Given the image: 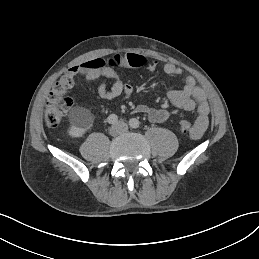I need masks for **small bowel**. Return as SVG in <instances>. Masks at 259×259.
I'll return each instance as SVG.
<instances>
[{
	"mask_svg": "<svg viewBox=\"0 0 259 259\" xmlns=\"http://www.w3.org/2000/svg\"><path fill=\"white\" fill-rule=\"evenodd\" d=\"M140 67H145L149 71H155L157 61H149L145 56L136 53L115 55L107 60L98 58L71 67L67 71V75L82 76L88 81L99 78L109 79L112 81V85L108 87L105 82H101L97 88L98 95L106 100L118 97L128 99L132 96L134 89L130 84L124 83L121 80L116 68ZM163 70L166 74L173 76H179L183 73L180 67L172 63L165 64ZM167 98L177 108L185 111H197L191 136L195 139L200 138L209 124V104L204 90L196 85L192 76H186L183 88L168 91ZM136 112L145 114L150 121L155 123H164L169 116L168 111L164 109H156L146 105L138 106Z\"/></svg>",
	"mask_w": 259,
	"mask_h": 259,
	"instance_id": "c3829d8e",
	"label": "small bowel"
}]
</instances>
